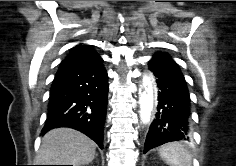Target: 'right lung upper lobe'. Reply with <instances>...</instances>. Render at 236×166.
I'll list each match as a JSON object with an SVG mask.
<instances>
[{"label":"right lung upper lobe","instance_id":"right-lung-upper-lobe-1","mask_svg":"<svg viewBox=\"0 0 236 166\" xmlns=\"http://www.w3.org/2000/svg\"><path fill=\"white\" fill-rule=\"evenodd\" d=\"M101 60L92 45L79 44L70 50V54L61 62L60 68L83 67Z\"/></svg>","mask_w":236,"mask_h":166}]
</instances>
